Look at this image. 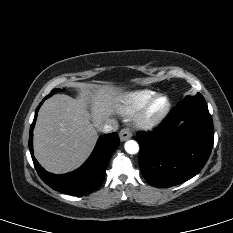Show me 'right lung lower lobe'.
I'll return each mask as SVG.
<instances>
[{
	"mask_svg": "<svg viewBox=\"0 0 233 233\" xmlns=\"http://www.w3.org/2000/svg\"><path fill=\"white\" fill-rule=\"evenodd\" d=\"M41 104L36 109L29 136V150L40 178L54 190L70 195L84 196L94 192L103 182L110 157L120 143L118 134L114 132L100 137L91 156L79 169L64 175H54L45 171L33 155V128Z\"/></svg>",
	"mask_w": 233,
	"mask_h": 233,
	"instance_id": "98d812e1",
	"label": "right lung lower lobe"
}]
</instances>
